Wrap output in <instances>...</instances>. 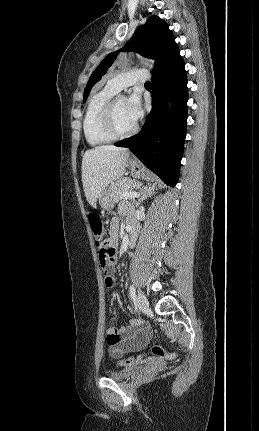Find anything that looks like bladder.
<instances>
[{"mask_svg":"<svg viewBox=\"0 0 259 431\" xmlns=\"http://www.w3.org/2000/svg\"><path fill=\"white\" fill-rule=\"evenodd\" d=\"M136 368H128L120 371H111L107 373V377L114 381H124L136 373Z\"/></svg>","mask_w":259,"mask_h":431,"instance_id":"31cf9c89","label":"bladder"}]
</instances>
